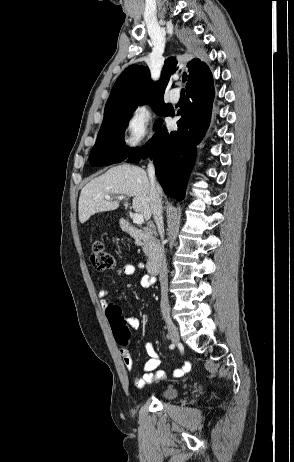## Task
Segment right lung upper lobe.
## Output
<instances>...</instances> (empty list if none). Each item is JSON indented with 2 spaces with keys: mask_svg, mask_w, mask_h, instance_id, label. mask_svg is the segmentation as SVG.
Listing matches in <instances>:
<instances>
[{
  "mask_svg": "<svg viewBox=\"0 0 294 462\" xmlns=\"http://www.w3.org/2000/svg\"><path fill=\"white\" fill-rule=\"evenodd\" d=\"M176 65L177 61L173 57L168 58L165 61L162 77L157 83L151 82L147 68L139 65L127 67L112 88L105 106L104 118L123 113L150 99H163L165 88ZM187 71L189 75L186 88L211 73L206 63L198 58L188 62Z\"/></svg>",
  "mask_w": 294,
  "mask_h": 462,
  "instance_id": "cb5924a9",
  "label": "right lung upper lobe"
}]
</instances>
